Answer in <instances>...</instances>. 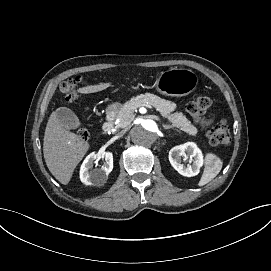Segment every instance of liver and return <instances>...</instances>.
Returning <instances> with one entry per match:
<instances>
[{"label": "liver", "mask_w": 271, "mask_h": 271, "mask_svg": "<svg viewBox=\"0 0 271 271\" xmlns=\"http://www.w3.org/2000/svg\"><path fill=\"white\" fill-rule=\"evenodd\" d=\"M110 85L111 83L90 85L79 88L78 92L94 93L102 91ZM88 149V142L80 140L78 135L59 125L55 112L50 115L45 129L43 153L49 171L61 184L69 183L74 169Z\"/></svg>", "instance_id": "liver-1"}]
</instances>
